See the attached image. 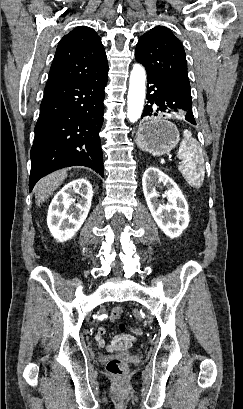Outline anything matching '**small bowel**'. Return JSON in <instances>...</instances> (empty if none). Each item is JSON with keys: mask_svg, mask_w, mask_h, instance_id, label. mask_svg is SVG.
Masks as SVG:
<instances>
[{"mask_svg": "<svg viewBox=\"0 0 243 409\" xmlns=\"http://www.w3.org/2000/svg\"><path fill=\"white\" fill-rule=\"evenodd\" d=\"M106 332L107 328L105 326H101L98 329L95 339L97 341L98 346L101 348H105L108 352L129 349L132 346L133 342L135 341L134 336L121 334L116 336L111 343L107 344L105 341Z\"/></svg>", "mask_w": 243, "mask_h": 409, "instance_id": "obj_1", "label": "small bowel"}]
</instances>
